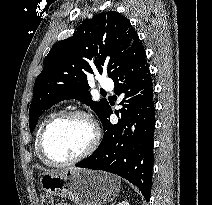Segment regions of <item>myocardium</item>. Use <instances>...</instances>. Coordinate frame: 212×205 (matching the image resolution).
<instances>
[{"instance_id": "f54148a6", "label": "myocardium", "mask_w": 212, "mask_h": 205, "mask_svg": "<svg viewBox=\"0 0 212 205\" xmlns=\"http://www.w3.org/2000/svg\"><path fill=\"white\" fill-rule=\"evenodd\" d=\"M71 117H79L84 119L91 127L92 130V138L86 149L77 155L76 157H73L68 160H56L53 157L50 156V154L47 152L46 147H45V138L50 130V128L58 123L61 120L71 118ZM100 142V130L95 123V121L91 118V116L81 110H68V111H62L58 114H55L52 116L42 127L39 136H38V150L42 158L49 164L54 165V166H67L71 164H75L88 156H90L98 147Z\"/></svg>"}]
</instances>
